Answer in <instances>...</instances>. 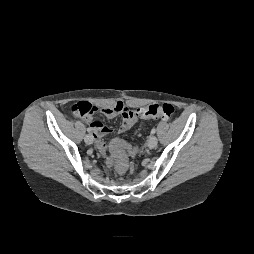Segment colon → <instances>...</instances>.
<instances>
[{
	"label": "colon",
	"instance_id": "1",
	"mask_svg": "<svg viewBox=\"0 0 254 254\" xmlns=\"http://www.w3.org/2000/svg\"><path fill=\"white\" fill-rule=\"evenodd\" d=\"M71 112L79 117L88 119L96 112V108L87 102H79L71 106ZM173 113L174 107L168 103L150 104L134 110V115L136 117L144 119H161L165 121L169 120ZM121 145L120 142H117L116 148L119 150ZM117 166L120 171L126 169V163L123 159L118 160Z\"/></svg>",
	"mask_w": 254,
	"mask_h": 254
}]
</instances>
